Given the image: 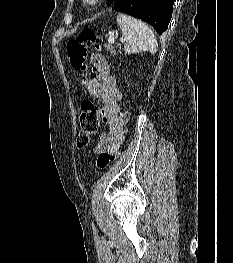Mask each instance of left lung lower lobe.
<instances>
[{"instance_id": "1", "label": "left lung lower lobe", "mask_w": 233, "mask_h": 263, "mask_svg": "<svg viewBox=\"0 0 233 263\" xmlns=\"http://www.w3.org/2000/svg\"><path fill=\"white\" fill-rule=\"evenodd\" d=\"M174 0H115L113 10L129 14L165 32L172 17Z\"/></svg>"}]
</instances>
